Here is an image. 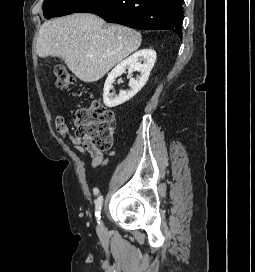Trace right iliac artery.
Instances as JSON below:
<instances>
[{"label":"right iliac artery","mask_w":255,"mask_h":272,"mask_svg":"<svg viewBox=\"0 0 255 272\" xmlns=\"http://www.w3.org/2000/svg\"><path fill=\"white\" fill-rule=\"evenodd\" d=\"M102 204H103V196H99L98 199L95 201V216L97 218V220H100L101 216H100V211L102 208ZM99 223V221H98Z\"/></svg>","instance_id":"right-iliac-artery-1"}]
</instances>
